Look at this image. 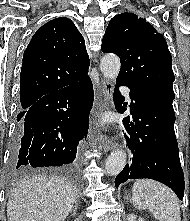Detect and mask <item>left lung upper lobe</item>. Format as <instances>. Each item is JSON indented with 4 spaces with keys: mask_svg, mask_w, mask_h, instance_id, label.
<instances>
[{
    "mask_svg": "<svg viewBox=\"0 0 190 221\" xmlns=\"http://www.w3.org/2000/svg\"><path fill=\"white\" fill-rule=\"evenodd\" d=\"M104 53H115L121 61L117 82L134 90L175 98L172 57L164 37L133 13L114 16L102 40Z\"/></svg>",
    "mask_w": 190,
    "mask_h": 221,
    "instance_id": "5c2ea615",
    "label": "left lung upper lobe"
}]
</instances>
